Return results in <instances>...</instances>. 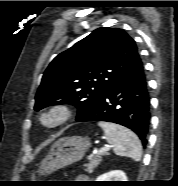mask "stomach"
<instances>
[{
  "label": "stomach",
  "mask_w": 178,
  "mask_h": 186,
  "mask_svg": "<svg viewBox=\"0 0 178 186\" xmlns=\"http://www.w3.org/2000/svg\"><path fill=\"white\" fill-rule=\"evenodd\" d=\"M90 146L91 142L87 137L71 136L60 139L42 160L39 174L47 176L81 160Z\"/></svg>",
  "instance_id": "obj_1"
}]
</instances>
